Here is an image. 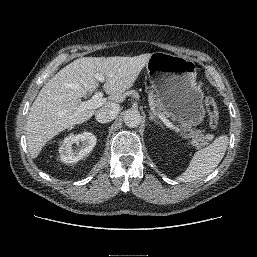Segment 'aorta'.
Returning a JSON list of instances; mask_svg holds the SVG:
<instances>
[{"label": "aorta", "instance_id": "762f6f07", "mask_svg": "<svg viewBox=\"0 0 257 257\" xmlns=\"http://www.w3.org/2000/svg\"><path fill=\"white\" fill-rule=\"evenodd\" d=\"M123 119L126 126L135 128L141 123V114L138 110L128 109L124 112Z\"/></svg>", "mask_w": 257, "mask_h": 257}]
</instances>
